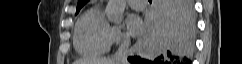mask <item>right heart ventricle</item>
<instances>
[{
    "label": "right heart ventricle",
    "mask_w": 242,
    "mask_h": 64,
    "mask_svg": "<svg viewBox=\"0 0 242 64\" xmlns=\"http://www.w3.org/2000/svg\"><path fill=\"white\" fill-rule=\"evenodd\" d=\"M109 29L110 25L98 6L86 10L74 28L73 45L76 52L88 58L105 54L111 45Z\"/></svg>",
    "instance_id": "obj_1"
}]
</instances>
